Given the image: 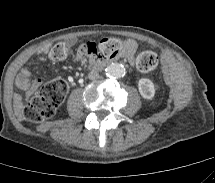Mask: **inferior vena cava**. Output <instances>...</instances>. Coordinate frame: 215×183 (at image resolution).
Here are the masks:
<instances>
[{
    "instance_id": "obj_1",
    "label": "inferior vena cava",
    "mask_w": 215,
    "mask_h": 183,
    "mask_svg": "<svg viewBox=\"0 0 215 183\" xmlns=\"http://www.w3.org/2000/svg\"><path fill=\"white\" fill-rule=\"evenodd\" d=\"M88 78L90 80H95V79H98L99 78V73L97 71H91L89 72L88 74Z\"/></svg>"
}]
</instances>
